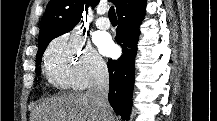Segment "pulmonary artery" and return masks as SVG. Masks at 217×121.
I'll return each instance as SVG.
<instances>
[{
    "label": "pulmonary artery",
    "mask_w": 217,
    "mask_h": 121,
    "mask_svg": "<svg viewBox=\"0 0 217 121\" xmlns=\"http://www.w3.org/2000/svg\"><path fill=\"white\" fill-rule=\"evenodd\" d=\"M100 16L96 19V26L100 30H108L111 26L107 17L103 16V12H99Z\"/></svg>",
    "instance_id": "obj_1"
}]
</instances>
